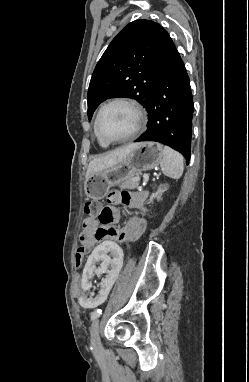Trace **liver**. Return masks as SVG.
Segmentation results:
<instances>
[{
  "label": "liver",
  "instance_id": "6515ba94",
  "mask_svg": "<svg viewBox=\"0 0 249 382\" xmlns=\"http://www.w3.org/2000/svg\"><path fill=\"white\" fill-rule=\"evenodd\" d=\"M135 147V144H129L115 149L103 156L93 159L88 165L86 179L93 173L111 168L122 161Z\"/></svg>",
  "mask_w": 249,
  "mask_h": 382
}]
</instances>
